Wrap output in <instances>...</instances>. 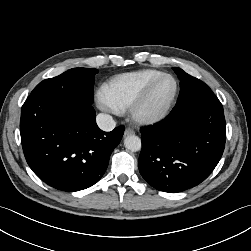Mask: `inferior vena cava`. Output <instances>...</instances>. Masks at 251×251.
I'll return each mask as SVG.
<instances>
[{
	"label": "inferior vena cava",
	"mask_w": 251,
	"mask_h": 251,
	"mask_svg": "<svg viewBox=\"0 0 251 251\" xmlns=\"http://www.w3.org/2000/svg\"><path fill=\"white\" fill-rule=\"evenodd\" d=\"M96 121L98 127L103 131H112L116 126V122L113 120L112 116L108 114H98Z\"/></svg>",
	"instance_id": "inferior-vena-cava-1"
}]
</instances>
